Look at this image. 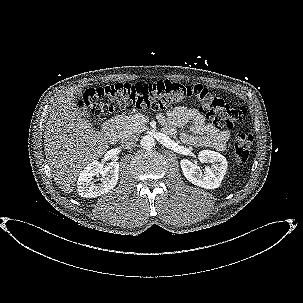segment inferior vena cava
<instances>
[{
  "instance_id": "obj_1",
  "label": "inferior vena cava",
  "mask_w": 303,
  "mask_h": 303,
  "mask_svg": "<svg viewBox=\"0 0 303 303\" xmlns=\"http://www.w3.org/2000/svg\"><path fill=\"white\" fill-rule=\"evenodd\" d=\"M122 143L127 149H131L136 146V136L135 135H126L122 137Z\"/></svg>"
}]
</instances>
